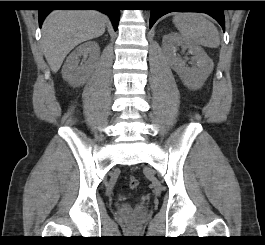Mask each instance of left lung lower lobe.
<instances>
[{
	"mask_svg": "<svg viewBox=\"0 0 265 245\" xmlns=\"http://www.w3.org/2000/svg\"><path fill=\"white\" fill-rule=\"evenodd\" d=\"M197 1H156L157 7L151 10L150 15V28L153 24L163 15L172 12H203L212 16L225 31V18L223 9L221 8H209L206 10L190 8L196 5ZM209 4H217L216 1H211Z\"/></svg>",
	"mask_w": 265,
	"mask_h": 245,
	"instance_id": "obj_1",
	"label": "left lung lower lobe"
}]
</instances>
